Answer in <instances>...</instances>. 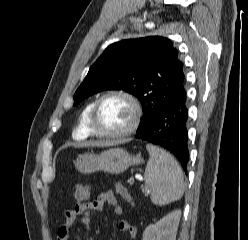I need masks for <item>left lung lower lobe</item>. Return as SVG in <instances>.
<instances>
[{"label": "left lung lower lobe", "instance_id": "1", "mask_svg": "<svg viewBox=\"0 0 248 240\" xmlns=\"http://www.w3.org/2000/svg\"><path fill=\"white\" fill-rule=\"evenodd\" d=\"M186 91L164 105L151 122L136 138L165 148L180 161L187 170L188 150V108Z\"/></svg>", "mask_w": 248, "mask_h": 240}]
</instances>
